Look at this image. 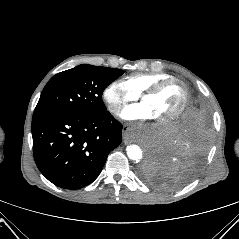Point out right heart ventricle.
Instances as JSON below:
<instances>
[{"label": "right heart ventricle", "mask_w": 239, "mask_h": 239, "mask_svg": "<svg viewBox=\"0 0 239 239\" xmlns=\"http://www.w3.org/2000/svg\"><path fill=\"white\" fill-rule=\"evenodd\" d=\"M171 78L169 74L166 73H136L128 76L124 83L136 94L140 95L145 89L151 85Z\"/></svg>", "instance_id": "e07e8e85"}]
</instances>
